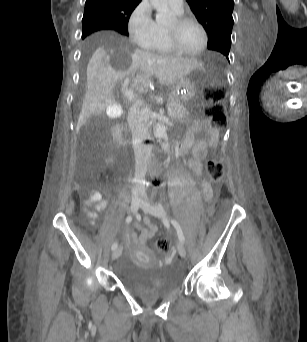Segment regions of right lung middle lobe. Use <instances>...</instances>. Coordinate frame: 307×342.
<instances>
[{
	"label": "right lung middle lobe",
	"mask_w": 307,
	"mask_h": 342,
	"mask_svg": "<svg viewBox=\"0 0 307 342\" xmlns=\"http://www.w3.org/2000/svg\"><path fill=\"white\" fill-rule=\"evenodd\" d=\"M82 24V39H84L87 35H89L92 32L108 29L107 24L103 21V17L96 13H84ZM119 32L123 35L128 36V31L119 30Z\"/></svg>",
	"instance_id": "dd1d6c3e"
}]
</instances>
